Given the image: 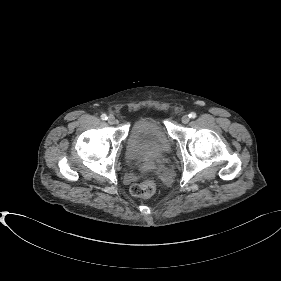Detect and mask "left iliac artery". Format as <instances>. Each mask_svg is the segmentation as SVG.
I'll list each match as a JSON object with an SVG mask.
<instances>
[{"instance_id":"left-iliac-artery-1","label":"left iliac artery","mask_w":281,"mask_h":281,"mask_svg":"<svg viewBox=\"0 0 281 281\" xmlns=\"http://www.w3.org/2000/svg\"><path fill=\"white\" fill-rule=\"evenodd\" d=\"M189 117L192 118V119L196 118V113L191 112V113L189 114Z\"/></svg>"}]
</instances>
